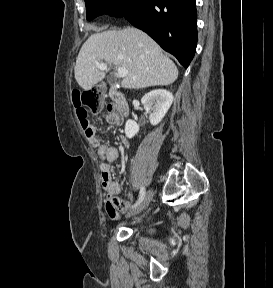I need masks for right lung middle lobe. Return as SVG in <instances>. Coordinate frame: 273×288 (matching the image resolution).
Returning <instances> with one entry per match:
<instances>
[{
    "label": "right lung middle lobe",
    "mask_w": 273,
    "mask_h": 288,
    "mask_svg": "<svg viewBox=\"0 0 273 288\" xmlns=\"http://www.w3.org/2000/svg\"><path fill=\"white\" fill-rule=\"evenodd\" d=\"M137 0H85L86 17L88 20L107 14L113 17H123L135 5Z\"/></svg>",
    "instance_id": "right-lung-middle-lobe-1"
}]
</instances>
